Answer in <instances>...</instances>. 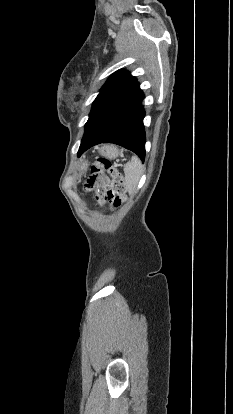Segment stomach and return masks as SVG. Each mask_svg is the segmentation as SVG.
Returning <instances> with one entry per match:
<instances>
[{"label": "stomach", "mask_w": 233, "mask_h": 414, "mask_svg": "<svg viewBox=\"0 0 233 414\" xmlns=\"http://www.w3.org/2000/svg\"><path fill=\"white\" fill-rule=\"evenodd\" d=\"M101 154L102 155H105V156H107V157H109V158H115V157H117L118 156V150L115 148V147H112V146H106V147H103L102 149H101ZM87 168V163L85 162V163H82L80 166H79V170H84V169H86Z\"/></svg>", "instance_id": "obj_1"}]
</instances>
